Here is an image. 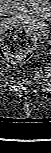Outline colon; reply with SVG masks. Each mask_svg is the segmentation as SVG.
<instances>
[{"label": "colon", "mask_w": 51, "mask_h": 153, "mask_svg": "<svg viewBox=\"0 0 51 153\" xmlns=\"http://www.w3.org/2000/svg\"><path fill=\"white\" fill-rule=\"evenodd\" d=\"M36 45L35 35L15 22L4 25L2 31L1 53L6 61L22 63L28 60Z\"/></svg>", "instance_id": "colon-1"}]
</instances>
